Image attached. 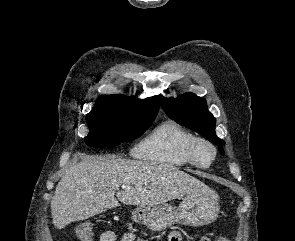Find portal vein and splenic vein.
<instances>
[{
	"mask_svg": "<svg viewBox=\"0 0 295 241\" xmlns=\"http://www.w3.org/2000/svg\"><path fill=\"white\" fill-rule=\"evenodd\" d=\"M122 188H127L126 186H122Z\"/></svg>",
	"mask_w": 295,
	"mask_h": 241,
	"instance_id": "1",
	"label": "portal vein and splenic vein"
}]
</instances>
